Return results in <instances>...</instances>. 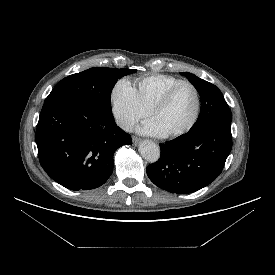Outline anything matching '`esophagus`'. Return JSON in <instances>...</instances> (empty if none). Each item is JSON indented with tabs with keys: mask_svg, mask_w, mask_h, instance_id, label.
<instances>
[{
	"mask_svg": "<svg viewBox=\"0 0 275 275\" xmlns=\"http://www.w3.org/2000/svg\"><path fill=\"white\" fill-rule=\"evenodd\" d=\"M132 141H133V144H134L135 146H137V145L141 142V139L138 138V137H133V138H132Z\"/></svg>",
	"mask_w": 275,
	"mask_h": 275,
	"instance_id": "1",
	"label": "esophagus"
}]
</instances>
